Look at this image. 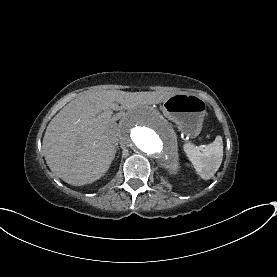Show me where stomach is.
Here are the masks:
<instances>
[{
  "instance_id": "obj_1",
  "label": "stomach",
  "mask_w": 277,
  "mask_h": 277,
  "mask_svg": "<svg viewBox=\"0 0 277 277\" xmlns=\"http://www.w3.org/2000/svg\"><path fill=\"white\" fill-rule=\"evenodd\" d=\"M162 111L185 135L196 137L201 132L206 109L200 97L175 94L163 102Z\"/></svg>"
}]
</instances>
